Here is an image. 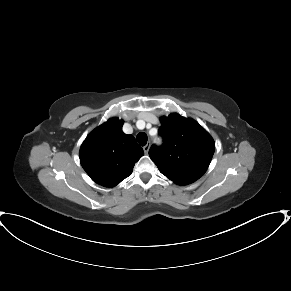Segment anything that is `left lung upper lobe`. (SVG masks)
Returning <instances> with one entry per match:
<instances>
[{"instance_id":"5c2ea615","label":"left lung upper lobe","mask_w":291,"mask_h":291,"mask_svg":"<svg viewBox=\"0 0 291 291\" xmlns=\"http://www.w3.org/2000/svg\"><path fill=\"white\" fill-rule=\"evenodd\" d=\"M159 133L164 143L153 145L149 156L163 175L178 185H187L206 172L215 143L196 121L173 113L161 118Z\"/></svg>"}]
</instances>
